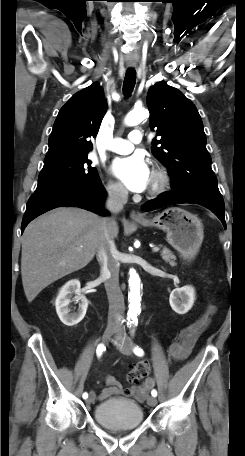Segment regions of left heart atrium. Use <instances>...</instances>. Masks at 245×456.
Here are the masks:
<instances>
[{
  "instance_id": "39dd6f15",
  "label": "left heart atrium",
  "mask_w": 245,
  "mask_h": 456,
  "mask_svg": "<svg viewBox=\"0 0 245 456\" xmlns=\"http://www.w3.org/2000/svg\"><path fill=\"white\" fill-rule=\"evenodd\" d=\"M111 172L133 192L145 190L151 179V172L141 154L116 158L112 162Z\"/></svg>"
}]
</instances>
